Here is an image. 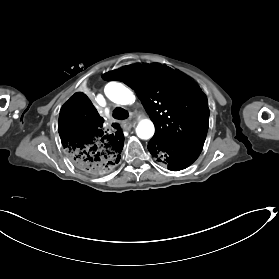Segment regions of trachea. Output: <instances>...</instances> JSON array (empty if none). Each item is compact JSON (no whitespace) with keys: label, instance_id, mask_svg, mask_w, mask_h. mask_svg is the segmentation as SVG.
I'll return each mask as SVG.
<instances>
[{"label":"trachea","instance_id":"1","mask_svg":"<svg viewBox=\"0 0 279 279\" xmlns=\"http://www.w3.org/2000/svg\"><path fill=\"white\" fill-rule=\"evenodd\" d=\"M128 116H129L128 111L121 107H117L113 111V117L115 119L124 120V119L128 118Z\"/></svg>","mask_w":279,"mask_h":279}]
</instances>
